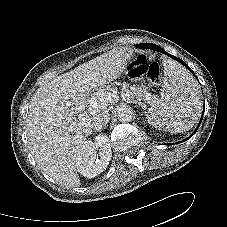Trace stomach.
Instances as JSON below:
<instances>
[{
	"label": "stomach",
	"instance_id": "1",
	"mask_svg": "<svg viewBox=\"0 0 227 227\" xmlns=\"http://www.w3.org/2000/svg\"><path fill=\"white\" fill-rule=\"evenodd\" d=\"M118 90V87L116 84L114 83H103L101 84V86L97 87V88H94L92 89L91 91V95L92 97L94 98H102L108 94H114L116 93Z\"/></svg>",
	"mask_w": 227,
	"mask_h": 227
}]
</instances>
